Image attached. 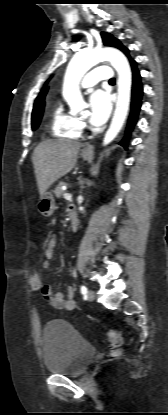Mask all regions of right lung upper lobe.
Instances as JSON below:
<instances>
[{"instance_id": "obj_1", "label": "right lung upper lobe", "mask_w": 168, "mask_h": 415, "mask_svg": "<svg viewBox=\"0 0 168 415\" xmlns=\"http://www.w3.org/2000/svg\"><path fill=\"white\" fill-rule=\"evenodd\" d=\"M46 92H47V89H45L38 96V98L36 99L35 104H34V108H33V113L36 112V111H38V110H40V109H43L44 108V104H45L44 98H45Z\"/></svg>"}]
</instances>
